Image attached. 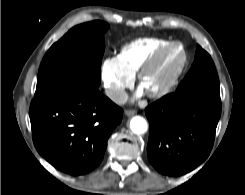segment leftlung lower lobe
Returning a JSON list of instances; mask_svg holds the SVG:
<instances>
[{
    "mask_svg": "<svg viewBox=\"0 0 245 195\" xmlns=\"http://www.w3.org/2000/svg\"><path fill=\"white\" fill-rule=\"evenodd\" d=\"M148 159L161 174L179 176L209 155L221 115V100L211 96L168 94L149 105Z\"/></svg>",
    "mask_w": 245,
    "mask_h": 195,
    "instance_id": "0a47b994",
    "label": "left lung lower lobe"
}]
</instances>
